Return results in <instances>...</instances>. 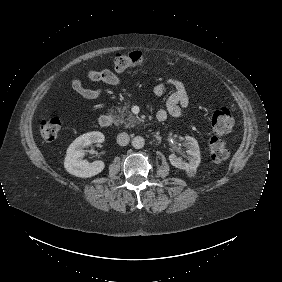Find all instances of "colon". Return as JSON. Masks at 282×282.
Segmentation results:
<instances>
[{"mask_svg": "<svg viewBox=\"0 0 282 282\" xmlns=\"http://www.w3.org/2000/svg\"><path fill=\"white\" fill-rule=\"evenodd\" d=\"M144 55L140 51L119 53L114 59L115 69L124 72L127 69L136 68L144 62ZM62 126L58 116H48L41 122L40 133L46 142L55 140ZM233 126V114L229 108H218L211 116L212 135L208 142L211 158L215 162H221L228 158L229 151L225 135Z\"/></svg>", "mask_w": 282, "mask_h": 282, "instance_id": "5ec220e1", "label": "colon"}]
</instances>
